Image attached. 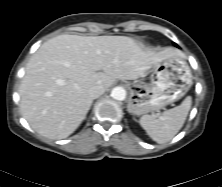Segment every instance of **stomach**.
Here are the masks:
<instances>
[{"label": "stomach", "instance_id": "0dacf381", "mask_svg": "<svg viewBox=\"0 0 222 187\" xmlns=\"http://www.w3.org/2000/svg\"><path fill=\"white\" fill-rule=\"evenodd\" d=\"M150 83L133 84L128 111L143 115L159 111L167 104L181 99L192 86V73L183 55L166 58L149 73Z\"/></svg>", "mask_w": 222, "mask_h": 187}]
</instances>
